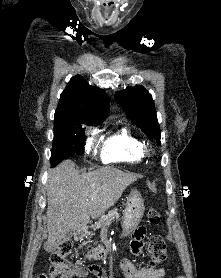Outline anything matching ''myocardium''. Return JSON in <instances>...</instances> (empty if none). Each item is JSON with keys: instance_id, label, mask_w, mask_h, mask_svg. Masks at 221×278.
Masks as SVG:
<instances>
[{"instance_id": "obj_1", "label": "myocardium", "mask_w": 221, "mask_h": 278, "mask_svg": "<svg viewBox=\"0 0 221 278\" xmlns=\"http://www.w3.org/2000/svg\"><path fill=\"white\" fill-rule=\"evenodd\" d=\"M141 155L142 157H149L151 155V149L145 144L141 146Z\"/></svg>"}]
</instances>
